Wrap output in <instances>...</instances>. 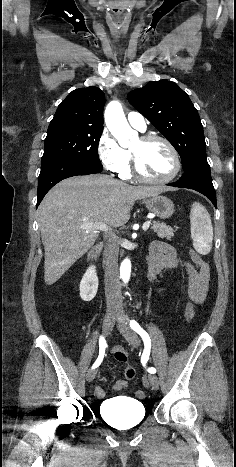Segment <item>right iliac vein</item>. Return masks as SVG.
Masks as SVG:
<instances>
[{"mask_svg":"<svg viewBox=\"0 0 236 467\" xmlns=\"http://www.w3.org/2000/svg\"><path fill=\"white\" fill-rule=\"evenodd\" d=\"M115 318H116V313H114V312H110V313L106 314V316L104 318V321H103V333L105 335H108L112 331L113 326H114V322H115ZM96 374H97L96 369H90L87 372V375H86L87 381L88 382L93 381Z\"/></svg>","mask_w":236,"mask_h":467,"instance_id":"right-iliac-vein-1","label":"right iliac vein"}]
</instances>
